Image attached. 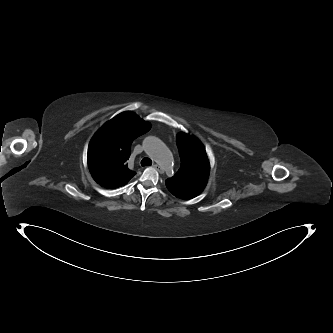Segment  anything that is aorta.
Wrapping results in <instances>:
<instances>
[{
  "label": "aorta",
  "instance_id": "762f6f07",
  "mask_svg": "<svg viewBox=\"0 0 333 333\" xmlns=\"http://www.w3.org/2000/svg\"><path fill=\"white\" fill-rule=\"evenodd\" d=\"M145 152L163 170H170L173 164V157L169 148L157 137L148 136L143 141Z\"/></svg>",
  "mask_w": 333,
  "mask_h": 333
}]
</instances>
